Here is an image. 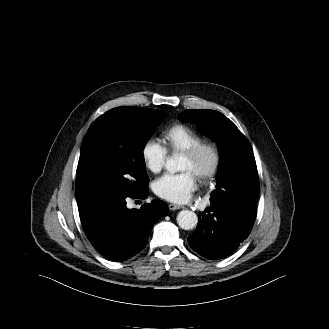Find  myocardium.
<instances>
[{
  "label": "myocardium",
  "instance_id": "1",
  "mask_svg": "<svg viewBox=\"0 0 329 329\" xmlns=\"http://www.w3.org/2000/svg\"><path fill=\"white\" fill-rule=\"evenodd\" d=\"M206 154L210 157V164L205 170L197 174L201 181H208L218 174L222 164V153L219 145L214 141H201L183 152L184 156L194 161Z\"/></svg>",
  "mask_w": 329,
  "mask_h": 329
}]
</instances>
